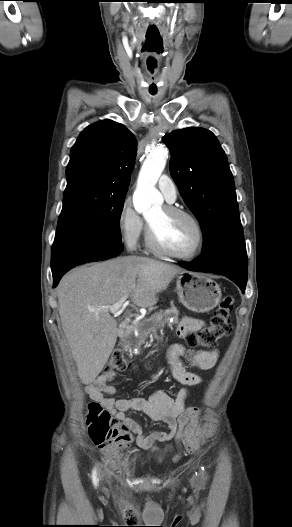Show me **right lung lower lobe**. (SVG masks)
Segmentation results:
<instances>
[{"instance_id":"1","label":"right lung lower lobe","mask_w":292,"mask_h":527,"mask_svg":"<svg viewBox=\"0 0 292 527\" xmlns=\"http://www.w3.org/2000/svg\"><path fill=\"white\" fill-rule=\"evenodd\" d=\"M123 249L120 241L100 233L76 229L57 230L51 252L54 287L73 267L115 257Z\"/></svg>"}]
</instances>
